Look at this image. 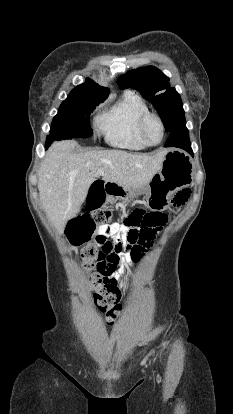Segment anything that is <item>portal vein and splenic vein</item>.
I'll list each match as a JSON object with an SVG mask.
<instances>
[{
    "label": "portal vein and splenic vein",
    "mask_w": 233,
    "mask_h": 414,
    "mask_svg": "<svg viewBox=\"0 0 233 414\" xmlns=\"http://www.w3.org/2000/svg\"><path fill=\"white\" fill-rule=\"evenodd\" d=\"M104 162H105V163H107V164H109V163H110V162H108V161H104ZM98 174H100V175H101V174H103V170H99V171H98Z\"/></svg>",
    "instance_id": "18ae733b"
}]
</instances>
